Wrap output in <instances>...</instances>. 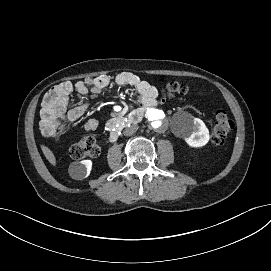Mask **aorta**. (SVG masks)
<instances>
[{
  "label": "aorta",
  "mask_w": 271,
  "mask_h": 271,
  "mask_svg": "<svg viewBox=\"0 0 271 271\" xmlns=\"http://www.w3.org/2000/svg\"><path fill=\"white\" fill-rule=\"evenodd\" d=\"M143 115L150 130L164 132L168 127V113L159 107L149 106L143 111Z\"/></svg>",
  "instance_id": "obj_1"
}]
</instances>
